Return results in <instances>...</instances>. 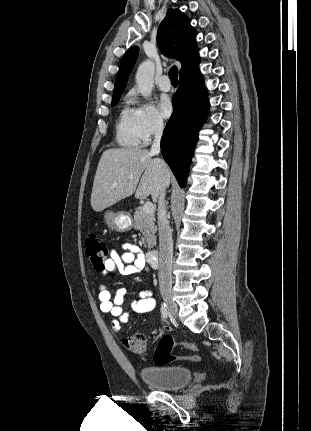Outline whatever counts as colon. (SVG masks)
Listing matches in <instances>:
<instances>
[{
    "label": "colon",
    "mask_w": 311,
    "mask_h": 431,
    "mask_svg": "<svg viewBox=\"0 0 311 431\" xmlns=\"http://www.w3.org/2000/svg\"><path fill=\"white\" fill-rule=\"evenodd\" d=\"M86 255L93 265L94 269L102 272L104 269L105 261L109 256V250L105 242L92 237L86 241ZM124 347L131 353L139 356H145L147 354V344L145 336L142 333H137L131 337L123 340ZM180 345L182 348L197 351L198 347L195 344L181 342L177 343L171 336H164L159 342L155 353L154 362L157 365H166L177 359L173 355L174 348ZM182 359L189 360L192 362H199L200 356L193 354L182 357Z\"/></svg>",
    "instance_id": "1"
}]
</instances>
